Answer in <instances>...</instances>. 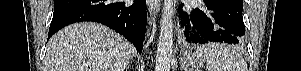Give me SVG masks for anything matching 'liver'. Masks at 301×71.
I'll list each match as a JSON object with an SVG mask.
<instances>
[{
  "mask_svg": "<svg viewBox=\"0 0 301 71\" xmlns=\"http://www.w3.org/2000/svg\"><path fill=\"white\" fill-rule=\"evenodd\" d=\"M134 54V47L115 31L81 22L50 38L44 71H124Z\"/></svg>",
  "mask_w": 301,
  "mask_h": 71,
  "instance_id": "liver-1",
  "label": "liver"
}]
</instances>
